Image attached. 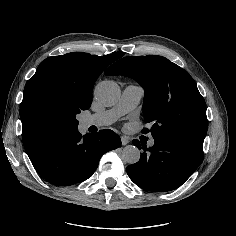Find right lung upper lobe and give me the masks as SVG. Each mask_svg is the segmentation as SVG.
<instances>
[{"label":"right lung upper lobe","mask_w":236,"mask_h":236,"mask_svg":"<svg viewBox=\"0 0 236 236\" xmlns=\"http://www.w3.org/2000/svg\"><path fill=\"white\" fill-rule=\"evenodd\" d=\"M122 56L121 53L96 56L75 52L49 57L40 63L36 73L26 83L25 89L37 81L49 80L72 88L83 98L92 99L93 86L98 76L108 65ZM23 143L30 159L48 145L30 146L26 142Z\"/></svg>","instance_id":"cb5924a9"}]
</instances>
